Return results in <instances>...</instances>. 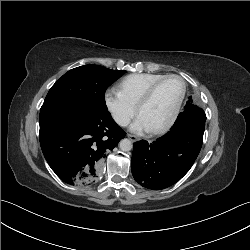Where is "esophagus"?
<instances>
[{
	"label": "esophagus",
	"mask_w": 250,
	"mask_h": 250,
	"mask_svg": "<svg viewBox=\"0 0 250 250\" xmlns=\"http://www.w3.org/2000/svg\"><path fill=\"white\" fill-rule=\"evenodd\" d=\"M127 137L132 141V142H136L138 140V138L135 135H131L128 134Z\"/></svg>",
	"instance_id": "1"
}]
</instances>
